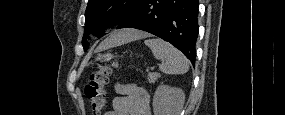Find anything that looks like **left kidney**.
Returning a JSON list of instances; mask_svg holds the SVG:
<instances>
[{"instance_id": "5707ae66", "label": "left kidney", "mask_w": 285, "mask_h": 115, "mask_svg": "<svg viewBox=\"0 0 285 115\" xmlns=\"http://www.w3.org/2000/svg\"><path fill=\"white\" fill-rule=\"evenodd\" d=\"M185 101L182 89L160 85L153 97L154 115H179Z\"/></svg>"}]
</instances>
